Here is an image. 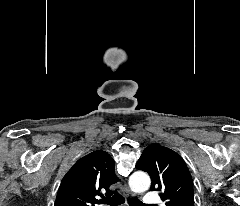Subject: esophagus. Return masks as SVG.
<instances>
[{"label": "esophagus", "instance_id": "34e87169", "mask_svg": "<svg viewBox=\"0 0 240 206\" xmlns=\"http://www.w3.org/2000/svg\"><path fill=\"white\" fill-rule=\"evenodd\" d=\"M122 190L127 199H132L134 197L133 192L129 189V187L126 184L123 186Z\"/></svg>", "mask_w": 240, "mask_h": 206}]
</instances>
